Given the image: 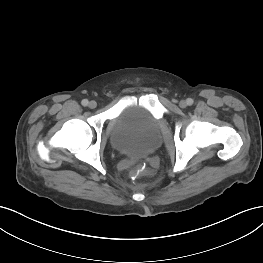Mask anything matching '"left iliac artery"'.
I'll list each match as a JSON object with an SVG mask.
<instances>
[{
  "instance_id": "obj_1",
  "label": "left iliac artery",
  "mask_w": 263,
  "mask_h": 263,
  "mask_svg": "<svg viewBox=\"0 0 263 263\" xmlns=\"http://www.w3.org/2000/svg\"><path fill=\"white\" fill-rule=\"evenodd\" d=\"M187 104H188V105H192V104H193V99L188 98V99H187Z\"/></svg>"
}]
</instances>
